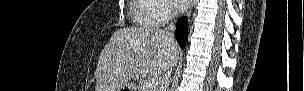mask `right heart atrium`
I'll return each instance as SVG.
<instances>
[{"label":"right heart atrium","mask_w":304,"mask_h":91,"mask_svg":"<svg viewBox=\"0 0 304 91\" xmlns=\"http://www.w3.org/2000/svg\"><path fill=\"white\" fill-rule=\"evenodd\" d=\"M153 8L149 15V20L155 24L169 21L174 12L166 0H146Z\"/></svg>","instance_id":"right-heart-atrium-1"}]
</instances>
